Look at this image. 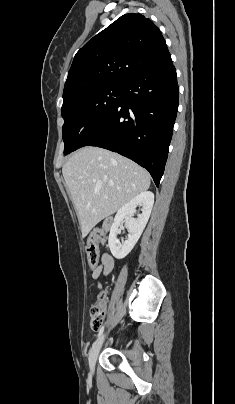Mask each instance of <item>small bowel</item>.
Here are the masks:
<instances>
[{"label":"small bowel","instance_id":"small-bowel-1","mask_svg":"<svg viewBox=\"0 0 235 404\" xmlns=\"http://www.w3.org/2000/svg\"><path fill=\"white\" fill-rule=\"evenodd\" d=\"M113 258L111 255L105 253L102 255L101 263L92 271V278L98 279L102 274L107 275L111 272L113 268ZM98 287H101V284H98Z\"/></svg>","mask_w":235,"mask_h":404}]
</instances>
